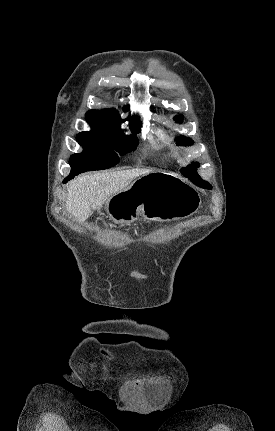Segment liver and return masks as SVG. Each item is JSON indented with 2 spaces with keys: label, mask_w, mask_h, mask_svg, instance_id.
Returning <instances> with one entry per match:
<instances>
[{
  "label": "liver",
  "mask_w": 275,
  "mask_h": 431,
  "mask_svg": "<svg viewBox=\"0 0 275 431\" xmlns=\"http://www.w3.org/2000/svg\"><path fill=\"white\" fill-rule=\"evenodd\" d=\"M151 172L149 169H131L79 176L69 184L66 209L83 222L93 211H100L112 196L125 190L134 179Z\"/></svg>",
  "instance_id": "1"
}]
</instances>
